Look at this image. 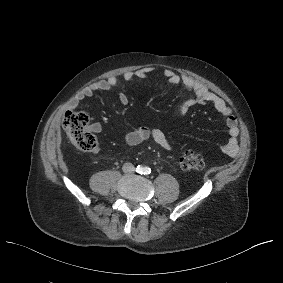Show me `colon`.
I'll use <instances>...</instances> for the list:
<instances>
[{
	"label": "colon",
	"instance_id": "obj_1",
	"mask_svg": "<svg viewBox=\"0 0 283 283\" xmlns=\"http://www.w3.org/2000/svg\"><path fill=\"white\" fill-rule=\"evenodd\" d=\"M89 118L85 112L69 109L63 118V127L72 143L83 151L96 147V139L88 130ZM178 165L185 171H199L204 167L203 157L194 150L185 151L178 158Z\"/></svg>",
	"mask_w": 283,
	"mask_h": 283
}]
</instances>
